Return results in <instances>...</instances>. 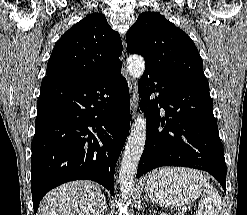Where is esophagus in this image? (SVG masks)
Segmentation results:
<instances>
[{"mask_svg":"<svg viewBox=\"0 0 247 215\" xmlns=\"http://www.w3.org/2000/svg\"><path fill=\"white\" fill-rule=\"evenodd\" d=\"M130 96H131V107L133 111V115L136 113L137 104H138V89H137V83L133 78L128 77L127 79Z\"/></svg>","mask_w":247,"mask_h":215,"instance_id":"esophagus-1","label":"esophagus"}]
</instances>
